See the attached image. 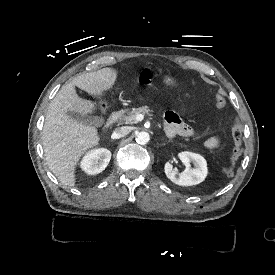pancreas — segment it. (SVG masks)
<instances>
[{
	"label": "pancreas",
	"mask_w": 275,
	"mask_h": 275,
	"mask_svg": "<svg viewBox=\"0 0 275 275\" xmlns=\"http://www.w3.org/2000/svg\"><path fill=\"white\" fill-rule=\"evenodd\" d=\"M153 110L149 106H143L140 108H126L119 110L117 114L119 115L118 121L119 123L124 124H133L135 121V116L138 114H150Z\"/></svg>",
	"instance_id": "pancreas-1"
}]
</instances>
